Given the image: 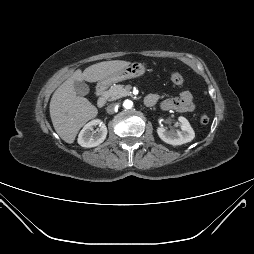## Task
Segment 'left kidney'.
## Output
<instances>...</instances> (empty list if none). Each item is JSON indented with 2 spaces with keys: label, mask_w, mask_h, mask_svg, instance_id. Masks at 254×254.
I'll return each instance as SVG.
<instances>
[{
  "label": "left kidney",
  "mask_w": 254,
  "mask_h": 254,
  "mask_svg": "<svg viewBox=\"0 0 254 254\" xmlns=\"http://www.w3.org/2000/svg\"><path fill=\"white\" fill-rule=\"evenodd\" d=\"M178 121L181 130H167L165 127L157 128L158 136L162 141L176 146L191 142L194 139L195 133L188 120L180 116Z\"/></svg>",
  "instance_id": "left-kidney-1"
}]
</instances>
